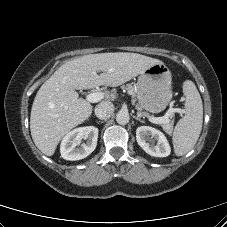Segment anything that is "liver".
Listing matches in <instances>:
<instances>
[{"label":"liver","instance_id":"6515ba94","mask_svg":"<svg viewBox=\"0 0 227 227\" xmlns=\"http://www.w3.org/2000/svg\"><path fill=\"white\" fill-rule=\"evenodd\" d=\"M161 63L128 52L89 54L64 63L40 87L32 105L30 130L37 148L52 156L64 135L91 116L92 105L75 89L117 87Z\"/></svg>","mask_w":227,"mask_h":227}]
</instances>
